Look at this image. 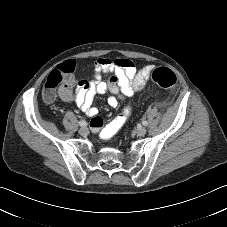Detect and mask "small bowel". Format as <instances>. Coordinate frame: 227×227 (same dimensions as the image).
Segmentation results:
<instances>
[{
    "label": "small bowel",
    "instance_id": "c3829d8e",
    "mask_svg": "<svg viewBox=\"0 0 227 227\" xmlns=\"http://www.w3.org/2000/svg\"><path fill=\"white\" fill-rule=\"evenodd\" d=\"M63 66L61 64L60 68ZM152 70V65L137 69L128 59L98 58L94 63L93 79L61 87L59 94L64 101L74 102L87 116L94 117L98 113L93 106L95 96L109 93L108 103L111 107H116L120 100L131 97L146 87ZM108 74L111 75L110 78L107 81L102 80V76ZM113 122L105 124L100 120L98 126L93 127V131L102 135Z\"/></svg>",
    "mask_w": 227,
    "mask_h": 227
}]
</instances>
